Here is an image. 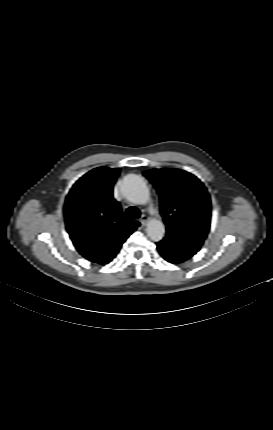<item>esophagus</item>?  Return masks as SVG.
<instances>
[{
	"label": "esophagus",
	"instance_id": "obj_1",
	"mask_svg": "<svg viewBox=\"0 0 273 430\" xmlns=\"http://www.w3.org/2000/svg\"><path fill=\"white\" fill-rule=\"evenodd\" d=\"M140 222L143 226H145L148 222V217L146 215H142L140 218Z\"/></svg>",
	"mask_w": 273,
	"mask_h": 430
}]
</instances>
